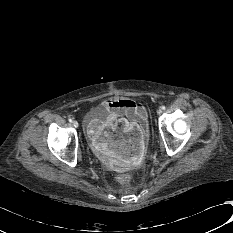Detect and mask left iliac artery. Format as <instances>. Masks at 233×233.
Returning a JSON list of instances; mask_svg holds the SVG:
<instances>
[{
  "mask_svg": "<svg viewBox=\"0 0 233 233\" xmlns=\"http://www.w3.org/2000/svg\"><path fill=\"white\" fill-rule=\"evenodd\" d=\"M162 109H163V110H165V109H166V107H165V106H162Z\"/></svg>",
  "mask_w": 233,
  "mask_h": 233,
  "instance_id": "1",
  "label": "left iliac artery"
}]
</instances>
